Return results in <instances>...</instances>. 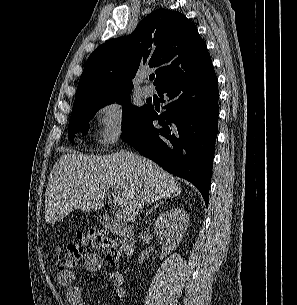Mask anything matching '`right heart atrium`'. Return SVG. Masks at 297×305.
I'll list each match as a JSON object with an SVG mask.
<instances>
[{
    "mask_svg": "<svg viewBox=\"0 0 297 305\" xmlns=\"http://www.w3.org/2000/svg\"><path fill=\"white\" fill-rule=\"evenodd\" d=\"M98 140L104 147L117 143L127 129V113L124 99L119 95H108L96 110Z\"/></svg>",
    "mask_w": 297,
    "mask_h": 305,
    "instance_id": "1",
    "label": "right heart atrium"
}]
</instances>
